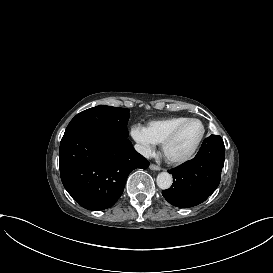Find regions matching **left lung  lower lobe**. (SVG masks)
Returning a JSON list of instances; mask_svg holds the SVG:
<instances>
[{"mask_svg":"<svg viewBox=\"0 0 273 273\" xmlns=\"http://www.w3.org/2000/svg\"><path fill=\"white\" fill-rule=\"evenodd\" d=\"M225 147L221 136L210 135L190 161L174 168L172 186L162 191L176 207H192L204 202L220 183ZM170 172V171H169Z\"/></svg>","mask_w":273,"mask_h":273,"instance_id":"obj_1","label":"left lung lower lobe"}]
</instances>
